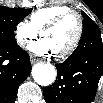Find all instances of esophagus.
<instances>
[{
  "mask_svg": "<svg viewBox=\"0 0 103 103\" xmlns=\"http://www.w3.org/2000/svg\"><path fill=\"white\" fill-rule=\"evenodd\" d=\"M30 61H31L32 64H34V63L38 62L39 60H38V58L31 56Z\"/></svg>",
  "mask_w": 103,
  "mask_h": 103,
  "instance_id": "1",
  "label": "esophagus"
}]
</instances>
